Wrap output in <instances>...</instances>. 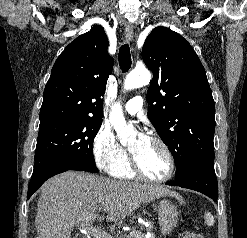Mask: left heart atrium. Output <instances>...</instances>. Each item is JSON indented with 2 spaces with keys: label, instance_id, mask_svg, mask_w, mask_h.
I'll list each match as a JSON object with an SVG mask.
<instances>
[{
  "label": "left heart atrium",
  "instance_id": "39dd6f15",
  "mask_svg": "<svg viewBox=\"0 0 247 238\" xmlns=\"http://www.w3.org/2000/svg\"><path fill=\"white\" fill-rule=\"evenodd\" d=\"M147 139H148L147 136H146L145 134L141 133V134L139 135L138 141H139V143H143V142H145Z\"/></svg>",
  "mask_w": 247,
  "mask_h": 238
}]
</instances>
